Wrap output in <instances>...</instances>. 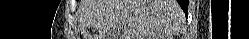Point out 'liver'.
<instances>
[{"instance_id":"1","label":"liver","mask_w":249,"mask_h":39,"mask_svg":"<svg viewBox=\"0 0 249 39\" xmlns=\"http://www.w3.org/2000/svg\"><path fill=\"white\" fill-rule=\"evenodd\" d=\"M79 13L84 39L170 37L180 32L183 22L176 0H83ZM90 28L98 33L92 35Z\"/></svg>"}]
</instances>
